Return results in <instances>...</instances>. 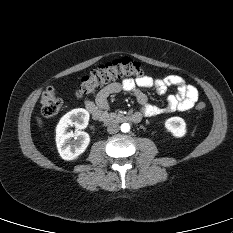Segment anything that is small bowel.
<instances>
[{"label": "small bowel", "instance_id": "c3829d8e", "mask_svg": "<svg viewBox=\"0 0 233 233\" xmlns=\"http://www.w3.org/2000/svg\"><path fill=\"white\" fill-rule=\"evenodd\" d=\"M171 87L175 88V93L167 96L168 103L165 106L149 103L147 95L143 92V89H153L159 95H163ZM121 91L133 94L140 105L141 113L147 117L188 111L199 97L198 90L186 84L178 75H168L164 78L143 75L136 79H125L122 82L108 84L98 91L94 100L85 99V108L94 118L100 119L103 114H108L109 97Z\"/></svg>", "mask_w": 233, "mask_h": 233}]
</instances>
